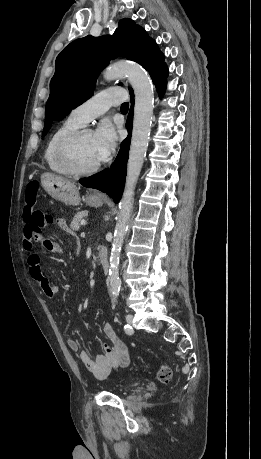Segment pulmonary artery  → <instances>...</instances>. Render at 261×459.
I'll list each match as a JSON object with an SVG mask.
<instances>
[{
    "label": "pulmonary artery",
    "mask_w": 261,
    "mask_h": 459,
    "mask_svg": "<svg viewBox=\"0 0 261 459\" xmlns=\"http://www.w3.org/2000/svg\"><path fill=\"white\" fill-rule=\"evenodd\" d=\"M125 98L126 93L121 88L102 90L73 109L69 117L82 125H86L92 119L105 113L111 106L121 104Z\"/></svg>",
    "instance_id": "1"
}]
</instances>
